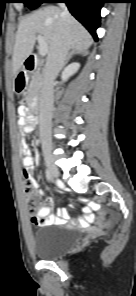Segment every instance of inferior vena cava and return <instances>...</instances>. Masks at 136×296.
<instances>
[{"label":"inferior vena cava","instance_id":"602c4592","mask_svg":"<svg viewBox=\"0 0 136 296\" xmlns=\"http://www.w3.org/2000/svg\"><path fill=\"white\" fill-rule=\"evenodd\" d=\"M61 18L59 37L53 50L47 58L43 70V83L39 100V130L42 144H51V120L54 102L53 83L58 73L65 65L68 51L70 49L69 24L70 14L64 3H60Z\"/></svg>","mask_w":136,"mask_h":296}]
</instances>
